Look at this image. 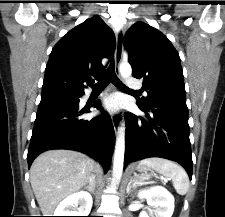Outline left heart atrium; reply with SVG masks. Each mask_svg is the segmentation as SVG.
<instances>
[{
	"label": "left heart atrium",
	"instance_id": "1",
	"mask_svg": "<svg viewBox=\"0 0 225 217\" xmlns=\"http://www.w3.org/2000/svg\"><path fill=\"white\" fill-rule=\"evenodd\" d=\"M122 102L118 95L112 94L103 99L102 106L105 111L115 113L121 108Z\"/></svg>",
	"mask_w": 225,
	"mask_h": 217
}]
</instances>
